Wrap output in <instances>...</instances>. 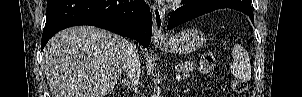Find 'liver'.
<instances>
[{
	"label": "liver",
	"mask_w": 302,
	"mask_h": 97,
	"mask_svg": "<svg viewBox=\"0 0 302 97\" xmlns=\"http://www.w3.org/2000/svg\"><path fill=\"white\" fill-rule=\"evenodd\" d=\"M126 41L90 26L54 35L43 51L52 97H105L124 69Z\"/></svg>",
	"instance_id": "obj_1"
}]
</instances>
